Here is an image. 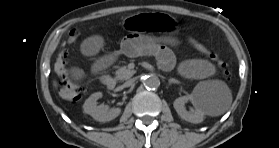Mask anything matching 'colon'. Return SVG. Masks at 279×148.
Returning a JSON list of instances; mask_svg holds the SVG:
<instances>
[{
  "instance_id": "obj_1",
  "label": "colon",
  "mask_w": 279,
  "mask_h": 148,
  "mask_svg": "<svg viewBox=\"0 0 279 148\" xmlns=\"http://www.w3.org/2000/svg\"><path fill=\"white\" fill-rule=\"evenodd\" d=\"M79 34L80 33L77 30L71 31L67 44H71L72 42H74L78 38ZM191 42L195 46V48L207 54L211 59L215 60L220 66V68L223 70L225 77L228 80L231 79V74L228 70V65L224 61L220 60L215 53L209 51L203 44H201L197 40L191 39ZM67 56L68 51L66 45H64L61 48L55 62V71L60 78L59 93L64 100L71 103H77L81 100L82 96L86 93L87 89L84 86H82L77 81V79L70 73L67 67Z\"/></svg>"
}]
</instances>
